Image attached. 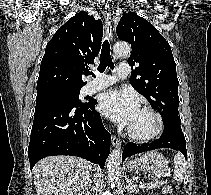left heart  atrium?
<instances>
[{
	"label": "left heart atrium",
	"instance_id": "39dd6f15",
	"mask_svg": "<svg viewBox=\"0 0 211 195\" xmlns=\"http://www.w3.org/2000/svg\"><path fill=\"white\" fill-rule=\"evenodd\" d=\"M100 112L121 126H130L139 112L136 97L127 91L110 90L99 99Z\"/></svg>",
	"mask_w": 211,
	"mask_h": 195
}]
</instances>
